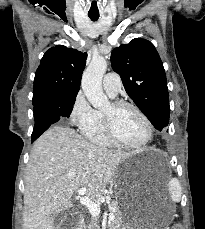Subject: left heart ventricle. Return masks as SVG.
Masks as SVG:
<instances>
[{"instance_id":"1","label":"left heart ventricle","mask_w":205,"mask_h":229,"mask_svg":"<svg viewBox=\"0 0 205 229\" xmlns=\"http://www.w3.org/2000/svg\"><path fill=\"white\" fill-rule=\"evenodd\" d=\"M104 112L113 113L115 133L122 142L137 144L145 138V124L133 109L125 107L113 111L109 104L104 109Z\"/></svg>"}]
</instances>
